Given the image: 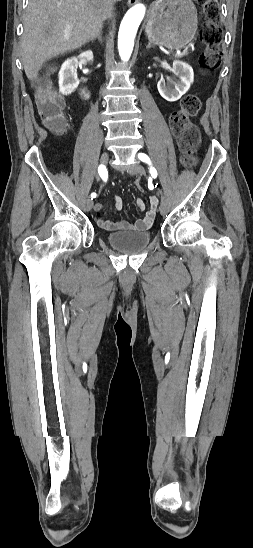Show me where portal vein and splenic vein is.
<instances>
[{"instance_id": "portal-vein-and-splenic-vein-1", "label": "portal vein and splenic vein", "mask_w": 253, "mask_h": 548, "mask_svg": "<svg viewBox=\"0 0 253 548\" xmlns=\"http://www.w3.org/2000/svg\"><path fill=\"white\" fill-rule=\"evenodd\" d=\"M184 53H185V51L183 53H181L180 51L176 52L177 55H183Z\"/></svg>"}]
</instances>
